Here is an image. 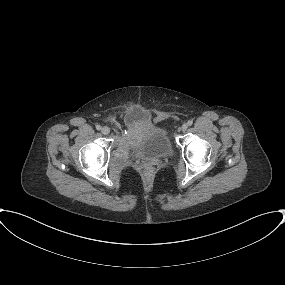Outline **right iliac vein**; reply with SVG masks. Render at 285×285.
Wrapping results in <instances>:
<instances>
[{"label": "right iliac vein", "instance_id": "right-iliac-vein-1", "mask_svg": "<svg viewBox=\"0 0 285 285\" xmlns=\"http://www.w3.org/2000/svg\"><path fill=\"white\" fill-rule=\"evenodd\" d=\"M101 132L104 135H108L110 133V128L107 126H104V127H102Z\"/></svg>", "mask_w": 285, "mask_h": 285}]
</instances>
